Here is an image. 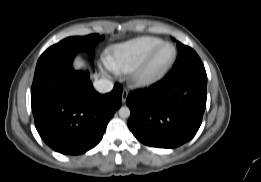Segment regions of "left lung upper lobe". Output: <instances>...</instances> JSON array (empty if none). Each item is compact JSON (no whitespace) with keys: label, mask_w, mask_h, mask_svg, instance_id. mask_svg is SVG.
I'll return each instance as SVG.
<instances>
[{"label":"left lung upper lobe","mask_w":261,"mask_h":182,"mask_svg":"<svg viewBox=\"0 0 261 182\" xmlns=\"http://www.w3.org/2000/svg\"><path fill=\"white\" fill-rule=\"evenodd\" d=\"M179 57L169 76L179 75L189 71L205 69L197 53L190 47L177 42Z\"/></svg>","instance_id":"obj_1"}]
</instances>
